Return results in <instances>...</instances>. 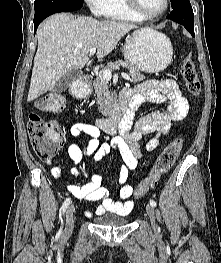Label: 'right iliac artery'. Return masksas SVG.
<instances>
[{
	"mask_svg": "<svg viewBox=\"0 0 221 263\" xmlns=\"http://www.w3.org/2000/svg\"><path fill=\"white\" fill-rule=\"evenodd\" d=\"M69 204H70V198H67V199L64 201V203H63V205H62V207H61L62 214H64V213L66 212Z\"/></svg>",
	"mask_w": 221,
	"mask_h": 263,
	"instance_id": "obj_1",
	"label": "right iliac artery"
}]
</instances>
